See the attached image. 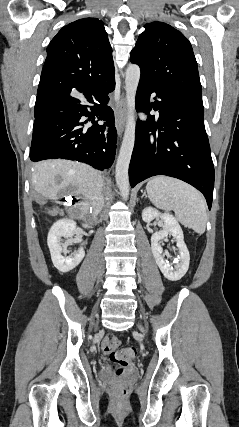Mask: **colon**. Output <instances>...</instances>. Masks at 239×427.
Masks as SVG:
<instances>
[{
    "label": "colon",
    "instance_id": "1",
    "mask_svg": "<svg viewBox=\"0 0 239 427\" xmlns=\"http://www.w3.org/2000/svg\"><path fill=\"white\" fill-rule=\"evenodd\" d=\"M137 355L135 347H125L110 354V360L113 365L115 375L119 378L134 361ZM113 395L117 400H122L126 395V387L124 383L118 382L113 388Z\"/></svg>",
    "mask_w": 239,
    "mask_h": 427
}]
</instances>
